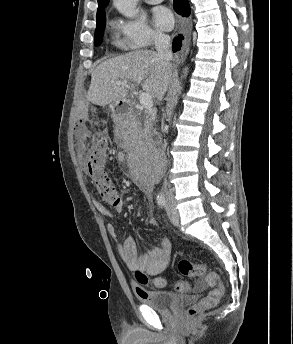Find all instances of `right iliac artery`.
<instances>
[{"instance_id": "obj_1", "label": "right iliac artery", "mask_w": 293, "mask_h": 344, "mask_svg": "<svg viewBox=\"0 0 293 344\" xmlns=\"http://www.w3.org/2000/svg\"><path fill=\"white\" fill-rule=\"evenodd\" d=\"M157 203H158V205L160 206V207H165V205H166V199H165V197L164 196H158L157 197Z\"/></svg>"}]
</instances>
